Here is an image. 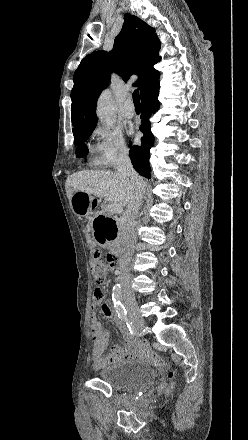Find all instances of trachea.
Instances as JSON below:
<instances>
[{"label": "trachea", "mask_w": 248, "mask_h": 440, "mask_svg": "<svg viewBox=\"0 0 248 440\" xmlns=\"http://www.w3.org/2000/svg\"><path fill=\"white\" fill-rule=\"evenodd\" d=\"M133 102H134V105H135V107H140V97H139V90L138 89H136L134 92H133Z\"/></svg>", "instance_id": "trachea-1"}]
</instances>
